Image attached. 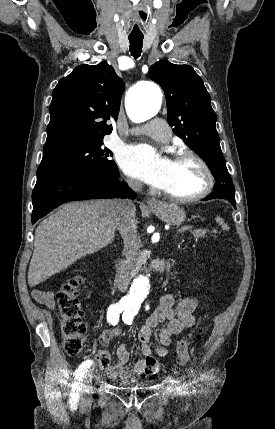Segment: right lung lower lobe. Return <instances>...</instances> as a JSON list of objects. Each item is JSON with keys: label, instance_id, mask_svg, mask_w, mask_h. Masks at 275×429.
<instances>
[{"label": "right lung lower lobe", "instance_id": "right-lung-lower-lobe-1", "mask_svg": "<svg viewBox=\"0 0 275 429\" xmlns=\"http://www.w3.org/2000/svg\"><path fill=\"white\" fill-rule=\"evenodd\" d=\"M112 197L132 199L136 194L119 181V174L75 173L55 177L35 186L31 221L35 223L69 201Z\"/></svg>", "mask_w": 275, "mask_h": 429}]
</instances>
